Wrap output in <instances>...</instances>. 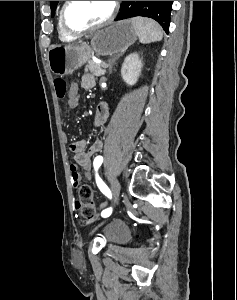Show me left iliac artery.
<instances>
[{
  "label": "left iliac artery",
  "mask_w": 237,
  "mask_h": 300,
  "mask_svg": "<svg viewBox=\"0 0 237 300\" xmlns=\"http://www.w3.org/2000/svg\"><path fill=\"white\" fill-rule=\"evenodd\" d=\"M102 162H103L102 156H97L93 162L94 169L96 171V183H97L98 188L101 190V192L103 194H105L108 198H111V192H110L109 188L97 174V170L101 166ZM111 213H112V208H108V209H105L102 211L101 216L106 218V217L110 216Z\"/></svg>",
  "instance_id": "44dca946"
}]
</instances>
